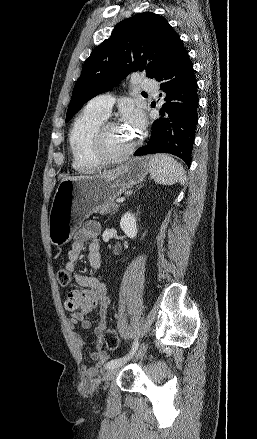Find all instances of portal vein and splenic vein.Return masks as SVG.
Segmentation results:
<instances>
[{"instance_id": "1", "label": "portal vein and splenic vein", "mask_w": 257, "mask_h": 439, "mask_svg": "<svg viewBox=\"0 0 257 439\" xmlns=\"http://www.w3.org/2000/svg\"><path fill=\"white\" fill-rule=\"evenodd\" d=\"M124 200H125V198L121 197V198L117 199L116 202L121 203V202H123Z\"/></svg>"}]
</instances>
